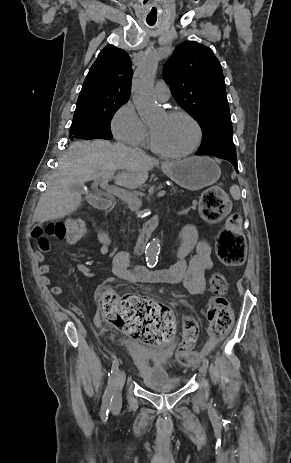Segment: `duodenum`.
I'll return each instance as SVG.
<instances>
[{"label": "duodenum", "instance_id": "obj_1", "mask_svg": "<svg viewBox=\"0 0 291 463\" xmlns=\"http://www.w3.org/2000/svg\"><path fill=\"white\" fill-rule=\"evenodd\" d=\"M90 201L95 207L99 209H106L110 205L111 198L105 194H95L91 196ZM156 222L155 218H151L143 225L140 232V238L135 245V251L137 253L143 252L147 243V237L155 229ZM144 271L150 273L152 270L146 268Z\"/></svg>", "mask_w": 291, "mask_h": 463}]
</instances>
